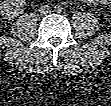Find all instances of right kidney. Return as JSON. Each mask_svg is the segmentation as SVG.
<instances>
[{
	"label": "right kidney",
	"instance_id": "right-kidney-1",
	"mask_svg": "<svg viewBox=\"0 0 111 106\" xmlns=\"http://www.w3.org/2000/svg\"><path fill=\"white\" fill-rule=\"evenodd\" d=\"M3 5L4 6L2 7V11H1L2 15L10 18L11 14H14L15 12H12V8H10L9 4H3Z\"/></svg>",
	"mask_w": 111,
	"mask_h": 106
}]
</instances>
